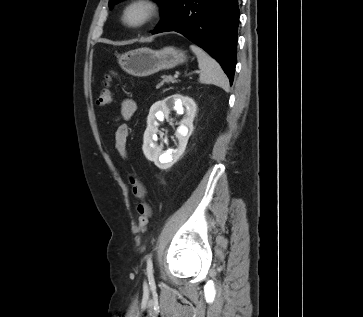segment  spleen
Wrapping results in <instances>:
<instances>
[{
  "instance_id": "obj_1",
  "label": "spleen",
  "mask_w": 363,
  "mask_h": 317,
  "mask_svg": "<svg viewBox=\"0 0 363 317\" xmlns=\"http://www.w3.org/2000/svg\"><path fill=\"white\" fill-rule=\"evenodd\" d=\"M190 49L198 59V66L201 70L199 80L201 83L215 84L229 91V80L220 64L196 45H190Z\"/></svg>"
}]
</instances>
